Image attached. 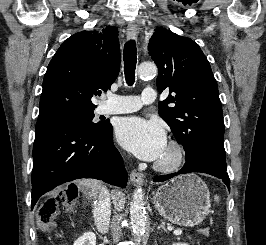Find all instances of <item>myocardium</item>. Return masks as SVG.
Segmentation results:
<instances>
[{"instance_id": "myocardium-1", "label": "myocardium", "mask_w": 266, "mask_h": 245, "mask_svg": "<svg viewBox=\"0 0 266 245\" xmlns=\"http://www.w3.org/2000/svg\"><path fill=\"white\" fill-rule=\"evenodd\" d=\"M167 147L174 152V157L169 161H159L157 160L154 164V168L163 173H172L180 168L185 157V151L183 146L175 141L171 140Z\"/></svg>"}]
</instances>
